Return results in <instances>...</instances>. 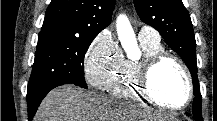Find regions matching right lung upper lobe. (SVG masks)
Wrapping results in <instances>:
<instances>
[{
	"label": "right lung upper lobe",
	"instance_id": "1",
	"mask_svg": "<svg viewBox=\"0 0 217 121\" xmlns=\"http://www.w3.org/2000/svg\"><path fill=\"white\" fill-rule=\"evenodd\" d=\"M115 0H52L41 31L97 36L111 22Z\"/></svg>",
	"mask_w": 217,
	"mask_h": 121
}]
</instances>
